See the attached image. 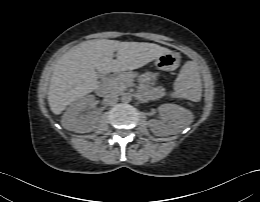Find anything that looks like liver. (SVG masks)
Here are the masks:
<instances>
[{
	"label": "liver",
	"mask_w": 260,
	"mask_h": 202,
	"mask_svg": "<svg viewBox=\"0 0 260 202\" xmlns=\"http://www.w3.org/2000/svg\"><path fill=\"white\" fill-rule=\"evenodd\" d=\"M169 52L165 47L146 42L107 39L82 42L64 53L54 67L48 91L50 109L59 115L72 102L96 90V71L108 74L138 69Z\"/></svg>",
	"instance_id": "1"
}]
</instances>
